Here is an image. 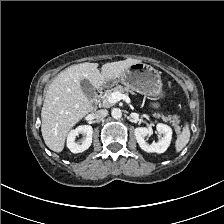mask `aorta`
<instances>
[{
	"label": "aorta",
	"instance_id": "762f6f07",
	"mask_svg": "<svg viewBox=\"0 0 224 224\" xmlns=\"http://www.w3.org/2000/svg\"><path fill=\"white\" fill-rule=\"evenodd\" d=\"M111 115L114 119H120L122 116V112L119 108H114L111 111Z\"/></svg>",
	"mask_w": 224,
	"mask_h": 224
}]
</instances>
